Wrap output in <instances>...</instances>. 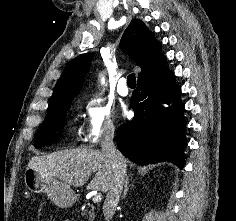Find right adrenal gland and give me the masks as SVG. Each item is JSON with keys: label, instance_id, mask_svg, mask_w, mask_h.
Returning <instances> with one entry per match:
<instances>
[{"label": "right adrenal gland", "instance_id": "obj_1", "mask_svg": "<svg viewBox=\"0 0 236 221\" xmlns=\"http://www.w3.org/2000/svg\"><path fill=\"white\" fill-rule=\"evenodd\" d=\"M129 177L126 178L125 182H124V191H123V194H122V198H125L126 194H127V191L129 189Z\"/></svg>", "mask_w": 236, "mask_h": 221}]
</instances>
